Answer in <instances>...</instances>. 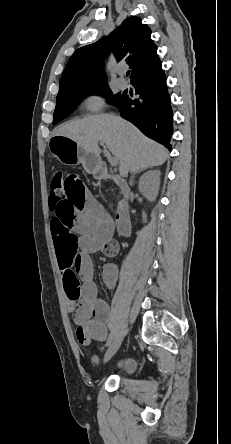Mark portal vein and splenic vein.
<instances>
[{"mask_svg": "<svg viewBox=\"0 0 231 444\" xmlns=\"http://www.w3.org/2000/svg\"><path fill=\"white\" fill-rule=\"evenodd\" d=\"M100 145L104 148V150L107 152L106 146L103 143H100ZM109 163L112 167L117 166L118 160L115 156H109L108 157Z\"/></svg>", "mask_w": 231, "mask_h": 444, "instance_id": "1", "label": "portal vein and splenic vein"}]
</instances>
